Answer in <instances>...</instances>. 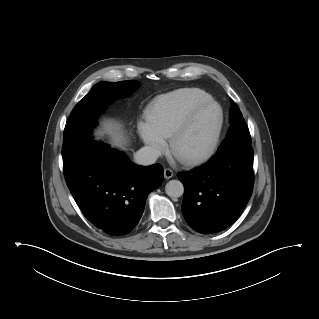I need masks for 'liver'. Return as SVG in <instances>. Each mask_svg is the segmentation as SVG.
Wrapping results in <instances>:
<instances>
[{
	"label": "liver",
	"mask_w": 319,
	"mask_h": 319,
	"mask_svg": "<svg viewBox=\"0 0 319 319\" xmlns=\"http://www.w3.org/2000/svg\"><path fill=\"white\" fill-rule=\"evenodd\" d=\"M104 133H107L111 136L113 146L124 148V146L127 144V139L121 130L120 124L115 121L104 122L103 131H97L96 135H103Z\"/></svg>",
	"instance_id": "1"
}]
</instances>
